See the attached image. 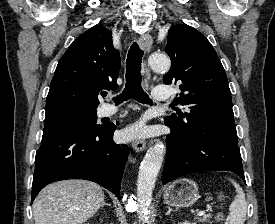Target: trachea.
Instances as JSON below:
<instances>
[{"label":"trachea","instance_id":"obj_1","mask_svg":"<svg viewBox=\"0 0 275 224\" xmlns=\"http://www.w3.org/2000/svg\"><path fill=\"white\" fill-rule=\"evenodd\" d=\"M141 50L136 42H134L128 52L126 60V85L123 92L114 98L116 104L134 98L140 103L152 104L149 96L144 92L141 86V60L143 56Z\"/></svg>","mask_w":275,"mask_h":224}]
</instances>
